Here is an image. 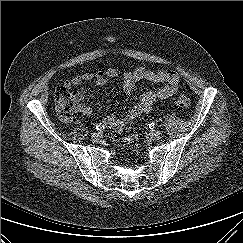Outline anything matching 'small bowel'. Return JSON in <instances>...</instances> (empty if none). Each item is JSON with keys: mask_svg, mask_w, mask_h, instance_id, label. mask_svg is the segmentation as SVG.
<instances>
[{"mask_svg": "<svg viewBox=\"0 0 243 243\" xmlns=\"http://www.w3.org/2000/svg\"><path fill=\"white\" fill-rule=\"evenodd\" d=\"M108 78L120 79L126 94H131L135 89L136 83L142 80L162 84V87L157 91L143 92L138 101L122 116L119 117L115 114H111L105 118L103 123L115 130L122 129L129 121L143 113L149 112L157 100L168 99L178 92L179 77L175 71H155L143 66L123 73H120L115 68H108L107 70H100L97 72H85L66 81L65 86L71 88L89 81H94L98 86H104L107 83ZM74 96L77 101V111L84 116L90 115L92 109L84 103V95L80 92H75Z\"/></svg>", "mask_w": 243, "mask_h": 243, "instance_id": "obj_1", "label": "small bowel"}]
</instances>
